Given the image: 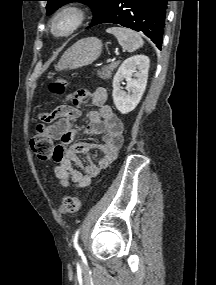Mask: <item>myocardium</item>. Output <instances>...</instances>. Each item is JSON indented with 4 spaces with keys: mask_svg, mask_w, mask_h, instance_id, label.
<instances>
[{
    "mask_svg": "<svg viewBox=\"0 0 216 285\" xmlns=\"http://www.w3.org/2000/svg\"><path fill=\"white\" fill-rule=\"evenodd\" d=\"M71 19V25L64 31L58 32L56 30L57 23L65 18ZM86 21V11L78 5H66L59 9L51 18L50 32L59 39H66L77 32Z\"/></svg>",
    "mask_w": 216,
    "mask_h": 285,
    "instance_id": "f54148a6",
    "label": "myocardium"
}]
</instances>
